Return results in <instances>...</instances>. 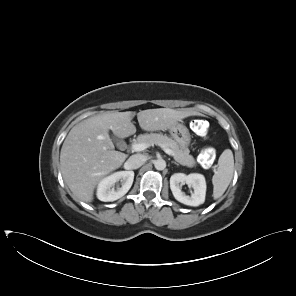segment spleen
I'll list each match as a JSON object with an SVG mask.
<instances>
[{"mask_svg":"<svg viewBox=\"0 0 296 296\" xmlns=\"http://www.w3.org/2000/svg\"><path fill=\"white\" fill-rule=\"evenodd\" d=\"M217 166L212 177L214 199H218L224 194L233 177L234 157L230 149L223 151Z\"/></svg>","mask_w":296,"mask_h":296,"instance_id":"spleen-1","label":"spleen"}]
</instances>
